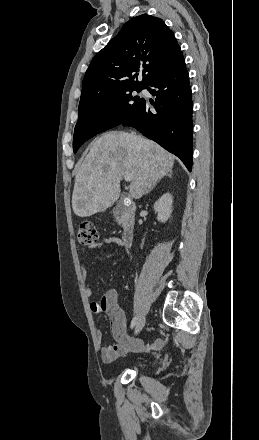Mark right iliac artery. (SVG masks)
I'll use <instances>...</instances> for the list:
<instances>
[{"mask_svg": "<svg viewBox=\"0 0 259 440\" xmlns=\"http://www.w3.org/2000/svg\"><path fill=\"white\" fill-rule=\"evenodd\" d=\"M137 316H135L133 319H132V322H131V329H133L134 328V326L136 325V323H137Z\"/></svg>", "mask_w": 259, "mask_h": 440, "instance_id": "82829eb1", "label": "right iliac artery"}]
</instances>
